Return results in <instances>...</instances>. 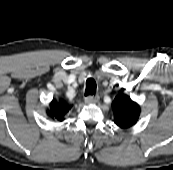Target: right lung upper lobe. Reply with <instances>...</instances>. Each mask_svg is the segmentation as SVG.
<instances>
[{
  "instance_id": "obj_1",
  "label": "right lung upper lobe",
  "mask_w": 173,
  "mask_h": 170,
  "mask_svg": "<svg viewBox=\"0 0 173 170\" xmlns=\"http://www.w3.org/2000/svg\"><path fill=\"white\" fill-rule=\"evenodd\" d=\"M71 109L70 105H67L63 100H52L50 103V110L48 115L58 121H63L65 114Z\"/></svg>"
}]
</instances>
